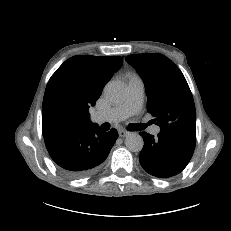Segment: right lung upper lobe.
<instances>
[{
  "label": "right lung upper lobe",
  "instance_id": "1",
  "mask_svg": "<svg viewBox=\"0 0 231 231\" xmlns=\"http://www.w3.org/2000/svg\"><path fill=\"white\" fill-rule=\"evenodd\" d=\"M122 61L123 58L117 56H73L51 76L46 88L56 82H64L72 99L81 107L73 129L93 124L89 119V107L95 105L103 87L120 69Z\"/></svg>",
  "mask_w": 231,
  "mask_h": 231
}]
</instances>
